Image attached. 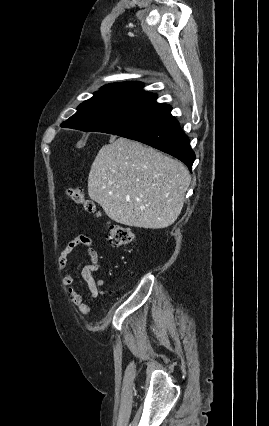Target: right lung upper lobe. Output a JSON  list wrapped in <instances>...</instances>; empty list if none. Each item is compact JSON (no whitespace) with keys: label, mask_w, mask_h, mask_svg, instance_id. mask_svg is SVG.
<instances>
[{"label":"right lung upper lobe","mask_w":269,"mask_h":426,"mask_svg":"<svg viewBox=\"0 0 269 426\" xmlns=\"http://www.w3.org/2000/svg\"><path fill=\"white\" fill-rule=\"evenodd\" d=\"M143 84L140 82H122V83H113L103 86L95 94H104V93H123V92H145L142 90Z\"/></svg>","instance_id":"cb5924a9"}]
</instances>
